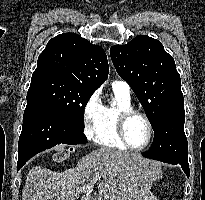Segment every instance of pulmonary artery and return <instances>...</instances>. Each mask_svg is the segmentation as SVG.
Returning a JSON list of instances; mask_svg holds the SVG:
<instances>
[{"instance_id":"1","label":"pulmonary artery","mask_w":205,"mask_h":200,"mask_svg":"<svg viewBox=\"0 0 205 200\" xmlns=\"http://www.w3.org/2000/svg\"><path fill=\"white\" fill-rule=\"evenodd\" d=\"M113 90H116L126 96H130V86L123 80H116L112 83Z\"/></svg>"}]
</instances>
